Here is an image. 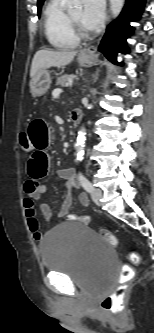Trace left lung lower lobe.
<instances>
[{
  "label": "left lung lower lobe",
  "mask_w": 154,
  "mask_h": 333,
  "mask_svg": "<svg viewBox=\"0 0 154 333\" xmlns=\"http://www.w3.org/2000/svg\"><path fill=\"white\" fill-rule=\"evenodd\" d=\"M144 4L145 0H126V5L118 19L108 26L99 45V51L113 63L118 64L116 61L118 52H127L126 39L133 31L129 22L139 18Z\"/></svg>",
  "instance_id": "left-lung-lower-lobe-1"
}]
</instances>
